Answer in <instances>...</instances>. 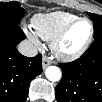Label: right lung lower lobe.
<instances>
[{
	"mask_svg": "<svg viewBox=\"0 0 102 102\" xmlns=\"http://www.w3.org/2000/svg\"><path fill=\"white\" fill-rule=\"evenodd\" d=\"M25 34L18 24L0 23V101L24 102L30 82L42 72V56L28 58L16 50Z\"/></svg>",
	"mask_w": 102,
	"mask_h": 102,
	"instance_id": "1",
	"label": "right lung lower lobe"
}]
</instances>
